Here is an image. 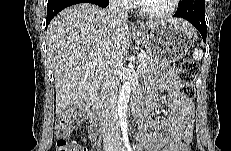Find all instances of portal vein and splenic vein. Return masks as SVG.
Listing matches in <instances>:
<instances>
[{
	"label": "portal vein and splenic vein",
	"mask_w": 231,
	"mask_h": 151,
	"mask_svg": "<svg viewBox=\"0 0 231 151\" xmlns=\"http://www.w3.org/2000/svg\"><path fill=\"white\" fill-rule=\"evenodd\" d=\"M144 57H145V54H139L138 55V59H139V61H141V60H143L144 59ZM94 64H96L95 62H93V63H90V64H88L89 66H91V65H94Z\"/></svg>",
	"instance_id": "obj_1"
}]
</instances>
